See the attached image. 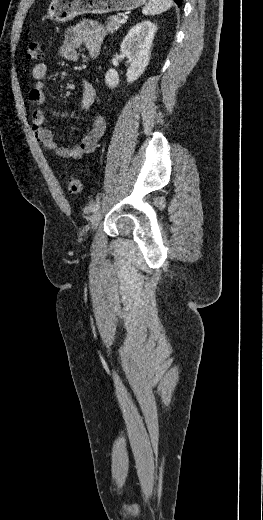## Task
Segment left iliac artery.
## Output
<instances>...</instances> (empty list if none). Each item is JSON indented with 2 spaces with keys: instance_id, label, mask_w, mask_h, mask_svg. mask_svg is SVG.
Returning <instances> with one entry per match:
<instances>
[{
  "instance_id": "1",
  "label": "left iliac artery",
  "mask_w": 263,
  "mask_h": 520,
  "mask_svg": "<svg viewBox=\"0 0 263 520\" xmlns=\"http://www.w3.org/2000/svg\"><path fill=\"white\" fill-rule=\"evenodd\" d=\"M100 207V201H97L93 207H92V212H96Z\"/></svg>"
}]
</instances>
